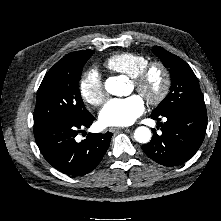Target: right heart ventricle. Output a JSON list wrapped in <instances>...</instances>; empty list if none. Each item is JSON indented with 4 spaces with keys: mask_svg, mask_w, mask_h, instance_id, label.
<instances>
[{
    "mask_svg": "<svg viewBox=\"0 0 221 221\" xmlns=\"http://www.w3.org/2000/svg\"><path fill=\"white\" fill-rule=\"evenodd\" d=\"M148 62L149 58L145 55L133 52H122L110 56L105 61V67L111 71L133 78Z\"/></svg>",
    "mask_w": 221,
    "mask_h": 221,
    "instance_id": "right-heart-ventricle-1",
    "label": "right heart ventricle"
}]
</instances>
